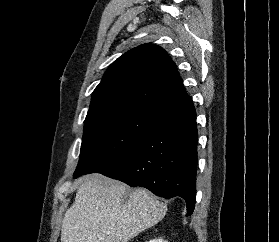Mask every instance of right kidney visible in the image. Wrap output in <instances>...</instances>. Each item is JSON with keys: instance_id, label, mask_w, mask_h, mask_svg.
<instances>
[{"instance_id": "1", "label": "right kidney", "mask_w": 279, "mask_h": 242, "mask_svg": "<svg viewBox=\"0 0 279 242\" xmlns=\"http://www.w3.org/2000/svg\"><path fill=\"white\" fill-rule=\"evenodd\" d=\"M149 242H168V241H164L163 239H154V240H150Z\"/></svg>"}]
</instances>
